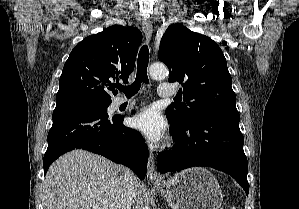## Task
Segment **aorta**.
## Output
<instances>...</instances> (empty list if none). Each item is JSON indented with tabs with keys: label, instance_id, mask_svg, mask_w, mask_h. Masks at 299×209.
Returning <instances> with one entry per match:
<instances>
[{
	"label": "aorta",
	"instance_id": "obj_1",
	"mask_svg": "<svg viewBox=\"0 0 299 209\" xmlns=\"http://www.w3.org/2000/svg\"><path fill=\"white\" fill-rule=\"evenodd\" d=\"M150 76L153 79H164L168 75V70L163 64H152L149 69ZM143 209H149L145 206Z\"/></svg>",
	"mask_w": 299,
	"mask_h": 209
}]
</instances>
